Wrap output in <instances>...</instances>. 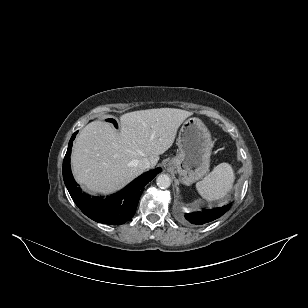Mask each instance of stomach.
<instances>
[{
    "label": "stomach",
    "instance_id": "0dacf381",
    "mask_svg": "<svg viewBox=\"0 0 308 308\" xmlns=\"http://www.w3.org/2000/svg\"><path fill=\"white\" fill-rule=\"evenodd\" d=\"M179 153L169 161L185 185L202 179L209 171L213 147L211 134L199 118H189L181 126L177 138Z\"/></svg>",
    "mask_w": 308,
    "mask_h": 308
}]
</instances>
